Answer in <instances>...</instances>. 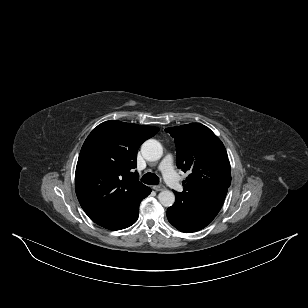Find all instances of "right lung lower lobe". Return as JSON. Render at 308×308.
I'll use <instances>...</instances> for the list:
<instances>
[{
	"mask_svg": "<svg viewBox=\"0 0 308 308\" xmlns=\"http://www.w3.org/2000/svg\"><path fill=\"white\" fill-rule=\"evenodd\" d=\"M151 192V189L148 188V190L146 191L144 197L142 199H144L145 197H147ZM142 201V200H141ZM140 201V202H141ZM140 202H138V204L136 205V209L133 212L132 216L129 218V220L124 224V226H122L121 228L115 229V230H120V229H124L127 228L129 226H131L132 224H134L136 222V220L138 219V213H139V204Z\"/></svg>",
	"mask_w": 308,
	"mask_h": 308,
	"instance_id": "obj_1",
	"label": "right lung lower lobe"
}]
</instances>
